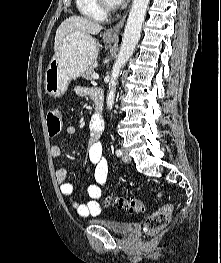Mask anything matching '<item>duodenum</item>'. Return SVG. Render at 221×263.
Returning a JSON list of instances; mask_svg holds the SVG:
<instances>
[{"mask_svg":"<svg viewBox=\"0 0 221 263\" xmlns=\"http://www.w3.org/2000/svg\"><path fill=\"white\" fill-rule=\"evenodd\" d=\"M95 110L92 117V121L96 128H102L103 127V119H102V110H103V104H104V96L102 92H95L92 96Z\"/></svg>","mask_w":221,"mask_h":263,"instance_id":"1","label":"duodenum"}]
</instances>
